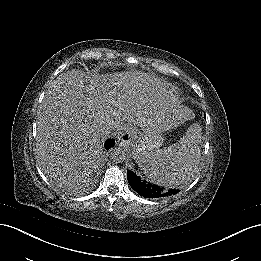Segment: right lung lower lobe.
I'll return each mask as SVG.
<instances>
[{"instance_id": "98d812e1", "label": "right lung lower lobe", "mask_w": 261, "mask_h": 261, "mask_svg": "<svg viewBox=\"0 0 261 261\" xmlns=\"http://www.w3.org/2000/svg\"><path fill=\"white\" fill-rule=\"evenodd\" d=\"M114 145H115V140L114 139H109V140H107V142L105 144V148H106V150H108L111 147H113Z\"/></svg>"}]
</instances>
